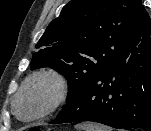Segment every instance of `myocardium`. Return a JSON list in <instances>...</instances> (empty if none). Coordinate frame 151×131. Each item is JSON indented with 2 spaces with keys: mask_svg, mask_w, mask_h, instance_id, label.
<instances>
[{
  "mask_svg": "<svg viewBox=\"0 0 151 131\" xmlns=\"http://www.w3.org/2000/svg\"><path fill=\"white\" fill-rule=\"evenodd\" d=\"M41 82H49L53 86L54 92L50 101L38 112L30 116H22L19 110V104L22 96L27 92V90L31 86ZM68 93H69L68 80L61 72L55 69H42L32 73L25 79L19 91L14 97L13 108L15 113L19 117H22L27 120L39 119L57 110L67 99Z\"/></svg>",
  "mask_w": 151,
  "mask_h": 131,
  "instance_id": "1",
  "label": "myocardium"
}]
</instances>
